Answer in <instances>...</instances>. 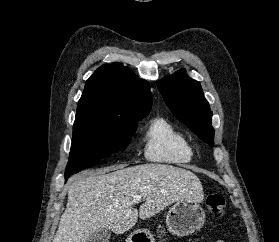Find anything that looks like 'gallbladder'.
I'll return each instance as SVG.
<instances>
[{
    "instance_id": "obj_1",
    "label": "gallbladder",
    "mask_w": 279,
    "mask_h": 242,
    "mask_svg": "<svg viewBox=\"0 0 279 242\" xmlns=\"http://www.w3.org/2000/svg\"><path fill=\"white\" fill-rule=\"evenodd\" d=\"M111 232L107 228H98L89 238V242H108Z\"/></svg>"
}]
</instances>
